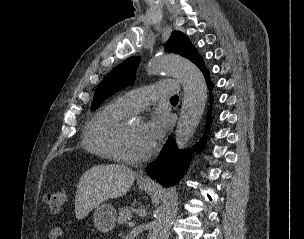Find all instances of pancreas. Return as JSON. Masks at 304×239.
<instances>
[{"mask_svg":"<svg viewBox=\"0 0 304 239\" xmlns=\"http://www.w3.org/2000/svg\"><path fill=\"white\" fill-rule=\"evenodd\" d=\"M132 217L131 208L124 206L119 210V217L117 218L118 224H127L130 222Z\"/></svg>","mask_w":304,"mask_h":239,"instance_id":"pancreas-1","label":"pancreas"}]
</instances>
